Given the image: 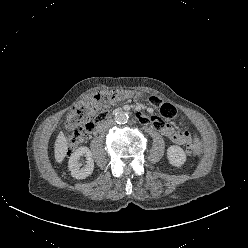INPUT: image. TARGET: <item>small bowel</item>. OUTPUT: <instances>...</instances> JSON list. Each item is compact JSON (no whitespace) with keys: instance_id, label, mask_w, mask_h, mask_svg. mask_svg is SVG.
<instances>
[{"instance_id":"c3829d8e","label":"small bowel","mask_w":248,"mask_h":248,"mask_svg":"<svg viewBox=\"0 0 248 248\" xmlns=\"http://www.w3.org/2000/svg\"><path fill=\"white\" fill-rule=\"evenodd\" d=\"M149 107L156 110L157 117L149 116L146 113H140V120L143 123L151 122V125L156 130L160 131L164 136L168 137L173 143L177 145H184L191 141H198V135L196 131L190 133L188 131H176L173 126L169 125L167 121L176 119L179 116L178 108L170 104L169 102H165L160 100L158 97H151L148 100ZM110 113L104 112L102 116H98L93 122L97 124L98 122L103 121Z\"/></svg>"}]
</instances>
